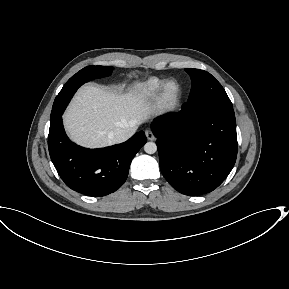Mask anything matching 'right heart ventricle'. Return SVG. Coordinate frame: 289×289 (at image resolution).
<instances>
[{
	"instance_id": "1",
	"label": "right heart ventricle",
	"mask_w": 289,
	"mask_h": 289,
	"mask_svg": "<svg viewBox=\"0 0 289 289\" xmlns=\"http://www.w3.org/2000/svg\"><path fill=\"white\" fill-rule=\"evenodd\" d=\"M163 82L161 78L151 77L138 86L137 93L141 97H153L159 92Z\"/></svg>"
}]
</instances>
